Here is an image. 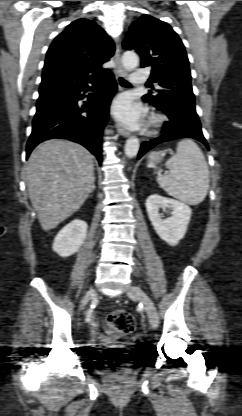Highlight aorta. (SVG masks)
<instances>
[{
    "mask_svg": "<svg viewBox=\"0 0 242 416\" xmlns=\"http://www.w3.org/2000/svg\"><path fill=\"white\" fill-rule=\"evenodd\" d=\"M122 64L126 70H134L139 65V57L135 52L127 51L122 56ZM139 147V139L136 137H130L125 143V155L128 158H134L138 154Z\"/></svg>",
    "mask_w": 242,
    "mask_h": 416,
    "instance_id": "aorta-1",
    "label": "aorta"
}]
</instances>
